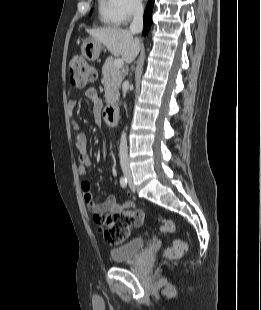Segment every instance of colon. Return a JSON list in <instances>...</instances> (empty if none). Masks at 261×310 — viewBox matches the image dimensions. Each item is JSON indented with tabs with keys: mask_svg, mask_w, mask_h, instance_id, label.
Segmentation results:
<instances>
[{
	"mask_svg": "<svg viewBox=\"0 0 261 310\" xmlns=\"http://www.w3.org/2000/svg\"><path fill=\"white\" fill-rule=\"evenodd\" d=\"M71 83L76 88H83L96 77L95 67L87 62L82 56H73L69 62ZM141 208L130 209L128 212L109 213L99 216L98 223L102 226V234L105 241L111 245L122 243L129 235L132 227H140L144 220ZM160 230L164 234H172L176 230L175 223L170 219H162ZM186 244L180 239L173 241L172 245L165 250V257L177 259L183 255Z\"/></svg>",
	"mask_w": 261,
	"mask_h": 310,
	"instance_id": "obj_1",
	"label": "colon"
}]
</instances>
